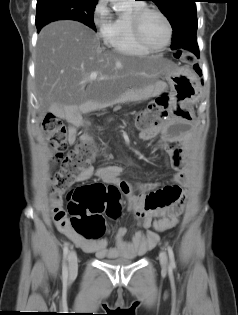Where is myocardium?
I'll use <instances>...</instances> for the list:
<instances>
[{"instance_id":"f54148a6","label":"myocardium","mask_w":238,"mask_h":315,"mask_svg":"<svg viewBox=\"0 0 238 315\" xmlns=\"http://www.w3.org/2000/svg\"><path fill=\"white\" fill-rule=\"evenodd\" d=\"M149 13H155L159 15L163 19L167 27V40L163 45L158 46V47L152 46L149 43H147L142 35V21L144 17ZM131 27H132L134 38L138 42V44L141 45L143 48L149 50L150 52L162 51L166 49L172 41L173 28H172L171 22L169 18L161 10L157 8L143 7L135 11L132 16Z\"/></svg>"}]
</instances>
